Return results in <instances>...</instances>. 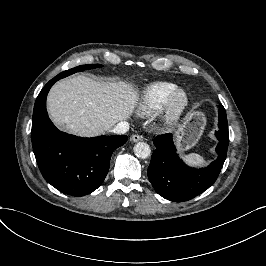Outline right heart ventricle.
<instances>
[{
    "label": "right heart ventricle",
    "mask_w": 266,
    "mask_h": 266,
    "mask_svg": "<svg viewBox=\"0 0 266 266\" xmlns=\"http://www.w3.org/2000/svg\"><path fill=\"white\" fill-rule=\"evenodd\" d=\"M179 88L172 81H154L147 84L135 102V112L141 118L154 116L168 97Z\"/></svg>",
    "instance_id": "1"
}]
</instances>
